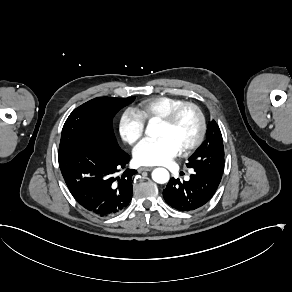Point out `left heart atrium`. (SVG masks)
Listing matches in <instances>:
<instances>
[{
    "instance_id": "1",
    "label": "left heart atrium",
    "mask_w": 292,
    "mask_h": 292,
    "mask_svg": "<svg viewBox=\"0 0 292 292\" xmlns=\"http://www.w3.org/2000/svg\"><path fill=\"white\" fill-rule=\"evenodd\" d=\"M181 147L169 136L143 140L134 150V159L140 165H161L179 155Z\"/></svg>"
}]
</instances>
